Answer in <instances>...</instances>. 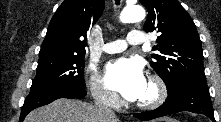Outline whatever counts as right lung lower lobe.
<instances>
[{
  "label": "right lung lower lobe",
  "mask_w": 221,
  "mask_h": 122,
  "mask_svg": "<svg viewBox=\"0 0 221 122\" xmlns=\"http://www.w3.org/2000/svg\"><path fill=\"white\" fill-rule=\"evenodd\" d=\"M85 89L72 86H57L48 89L30 91L24 101L19 122H22L26 115L33 109L49 104L59 98H78L86 96Z\"/></svg>",
  "instance_id": "obj_1"
}]
</instances>
